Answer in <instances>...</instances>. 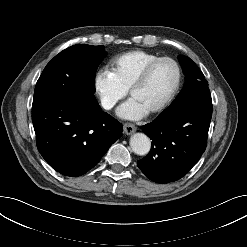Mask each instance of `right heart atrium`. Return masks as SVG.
<instances>
[{
    "label": "right heart atrium",
    "instance_id": "obj_1",
    "mask_svg": "<svg viewBox=\"0 0 247 247\" xmlns=\"http://www.w3.org/2000/svg\"><path fill=\"white\" fill-rule=\"evenodd\" d=\"M93 91L101 107L107 111L127 95V90L121 87L106 69H99L93 78Z\"/></svg>",
    "mask_w": 247,
    "mask_h": 247
}]
</instances>
